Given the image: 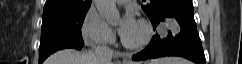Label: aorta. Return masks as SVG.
<instances>
[{
  "mask_svg": "<svg viewBox=\"0 0 242 64\" xmlns=\"http://www.w3.org/2000/svg\"><path fill=\"white\" fill-rule=\"evenodd\" d=\"M100 15L110 24H115L120 19V13L114 0H94Z\"/></svg>",
  "mask_w": 242,
  "mask_h": 64,
  "instance_id": "obj_1",
  "label": "aorta"
}]
</instances>
